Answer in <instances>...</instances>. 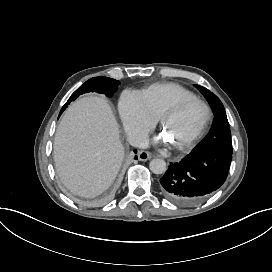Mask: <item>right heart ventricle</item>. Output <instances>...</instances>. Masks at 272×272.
<instances>
[{
	"label": "right heart ventricle",
	"instance_id": "e07e8e85",
	"mask_svg": "<svg viewBox=\"0 0 272 272\" xmlns=\"http://www.w3.org/2000/svg\"><path fill=\"white\" fill-rule=\"evenodd\" d=\"M149 112L156 118L176 98H195L194 94L177 84H155L139 93Z\"/></svg>",
	"mask_w": 272,
	"mask_h": 272
}]
</instances>
